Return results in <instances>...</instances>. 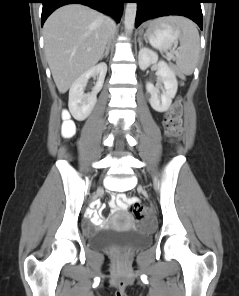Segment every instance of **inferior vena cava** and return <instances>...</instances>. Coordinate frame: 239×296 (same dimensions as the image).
Masks as SVG:
<instances>
[{"instance_id": "inferior-vena-cava-1", "label": "inferior vena cava", "mask_w": 239, "mask_h": 296, "mask_svg": "<svg viewBox=\"0 0 239 296\" xmlns=\"http://www.w3.org/2000/svg\"><path fill=\"white\" fill-rule=\"evenodd\" d=\"M109 20H110L111 27H110V29H109L108 39L111 38V36H112V34H113V31H114V22H113V20H111L110 18H109Z\"/></svg>"}]
</instances>
